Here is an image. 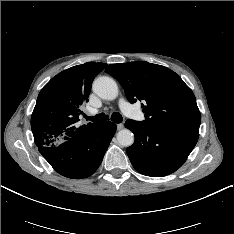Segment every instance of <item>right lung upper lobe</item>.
I'll return each mask as SVG.
<instances>
[{"mask_svg":"<svg viewBox=\"0 0 234 234\" xmlns=\"http://www.w3.org/2000/svg\"><path fill=\"white\" fill-rule=\"evenodd\" d=\"M107 64L88 62L64 70L40 91L31 116L36 145L53 146L93 125L79 126L80 106L86 101L95 76Z\"/></svg>","mask_w":234,"mask_h":234,"instance_id":"right-lung-upper-lobe-1","label":"right lung upper lobe"}]
</instances>
